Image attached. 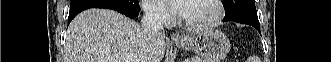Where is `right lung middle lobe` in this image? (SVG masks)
<instances>
[{"mask_svg": "<svg viewBox=\"0 0 331 62\" xmlns=\"http://www.w3.org/2000/svg\"><path fill=\"white\" fill-rule=\"evenodd\" d=\"M85 1H89V0H71L70 6H73V5H76L81 2H85ZM99 1H108V2L115 3V4H119V5L127 7V8H131V9L139 8L138 0H99Z\"/></svg>", "mask_w": 331, "mask_h": 62, "instance_id": "dd1d6c3e", "label": "right lung middle lobe"}]
</instances>
